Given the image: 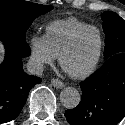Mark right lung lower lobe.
<instances>
[{
	"mask_svg": "<svg viewBox=\"0 0 125 125\" xmlns=\"http://www.w3.org/2000/svg\"><path fill=\"white\" fill-rule=\"evenodd\" d=\"M0 40L6 49L0 65V123H6L19 115L30 89L42 79L23 71L22 58L31 54L26 39L0 33Z\"/></svg>",
	"mask_w": 125,
	"mask_h": 125,
	"instance_id": "98d812e1",
	"label": "right lung lower lobe"
}]
</instances>
